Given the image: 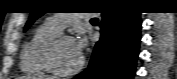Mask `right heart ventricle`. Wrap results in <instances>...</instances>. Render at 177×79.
Instances as JSON below:
<instances>
[{"mask_svg":"<svg viewBox=\"0 0 177 79\" xmlns=\"http://www.w3.org/2000/svg\"><path fill=\"white\" fill-rule=\"evenodd\" d=\"M59 34L60 32L46 22L33 31L21 52L20 67L24 73L37 76L47 75L49 73L42 63L41 50L49 40Z\"/></svg>","mask_w":177,"mask_h":79,"instance_id":"e07e8e85","label":"right heart ventricle"}]
</instances>
